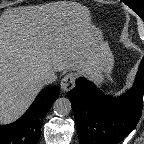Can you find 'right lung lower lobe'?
<instances>
[{
  "label": "right lung lower lobe",
  "mask_w": 144,
  "mask_h": 144,
  "mask_svg": "<svg viewBox=\"0 0 144 144\" xmlns=\"http://www.w3.org/2000/svg\"><path fill=\"white\" fill-rule=\"evenodd\" d=\"M59 94L58 86L42 90L19 120L10 125H0V144H37L43 119Z\"/></svg>",
  "instance_id": "right-lung-lower-lobe-1"
}]
</instances>
